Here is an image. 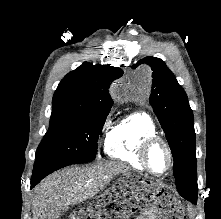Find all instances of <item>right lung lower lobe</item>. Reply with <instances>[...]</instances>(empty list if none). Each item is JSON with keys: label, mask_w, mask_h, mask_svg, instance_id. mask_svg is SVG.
I'll use <instances>...</instances> for the list:
<instances>
[{"label": "right lung lower lobe", "mask_w": 221, "mask_h": 219, "mask_svg": "<svg viewBox=\"0 0 221 219\" xmlns=\"http://www.w3.org/2000/svg\"><path fill=\"white\" fill-rule=\"evenodd\" d=\"M71 164L73 163L52 156L37 158L34 163L31 188L37 185L48 174Z\"/></svg>", "instance_id": "right-lung-lower-lobe-1"}]
</instances>
